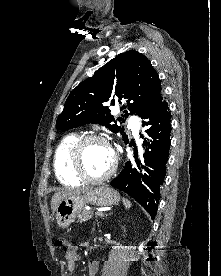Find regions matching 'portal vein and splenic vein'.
Returning a JSON list of instances; mask_svg holds the SVG:
<instances>
[{
    "label": "portal vein and splenic vein",
    "mask_w": 221,
    "mask_h": 276,
    "mask_svg": "<svg viewBox=\"0 0 221 276\" xmlns=\"http://www.w3.org/2000/svg\"><path fill=\"white\" fill-rule=\"evenodd\" d=\"M95 215L100 216V215H103V213L102 212H95Z\"/></svg>",
    "instance_id": "portal-vein-and-splenic-vein-1"
}]
</instances>
